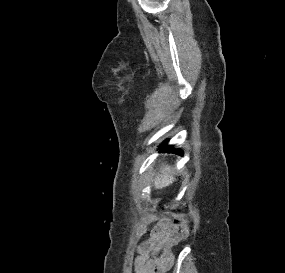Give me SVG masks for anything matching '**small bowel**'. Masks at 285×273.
<instances>
[{"mask_svg":"<svg viewBox=\"0 0 285 273\" xmlns=\"http://www.w3.org/2000/svg\"><path fill=\"white\" fill-rule=\"evenodd\" d=\"M179 239L174 224L162 217L152 236L138 247L135 273H165L173 262L171 249Z\"/></svg>","mask_w":285,"mask_h":273,"instance_id":"small-bowel-1","label":"small bowel"}]
</instances>
